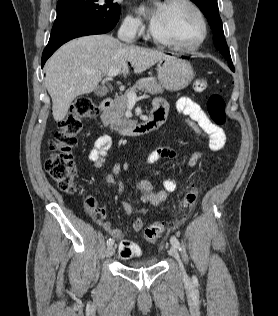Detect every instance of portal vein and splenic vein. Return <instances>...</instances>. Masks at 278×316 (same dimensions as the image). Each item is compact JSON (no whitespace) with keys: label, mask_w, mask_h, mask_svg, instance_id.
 Segmentation results:
<instances>
[{"label":"portal vein and splenic vein","mask_w":278,"mask_h":316,"mask_svg":"<svg viewBox=\"0 0 278 316\" xmlns=\"http://www.w3.org/2000/svg\"><path fill=\"white\" fill-rule=\"evenodd\" d=\"M87 73L90 74L93 72L88 71ZM119 73H120V69H112V70L108 71L107 76L109 78H112V77L118 75ZM126 96H127L128 102L135 103L138 100V97H137L136 93H134V92H129L126 94Z\"/></svg>","instance_id":"obj_1"}]
</instances>
